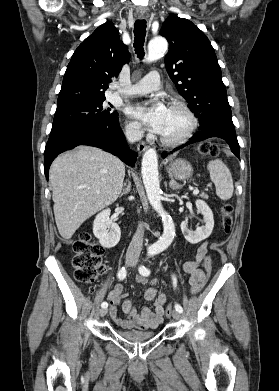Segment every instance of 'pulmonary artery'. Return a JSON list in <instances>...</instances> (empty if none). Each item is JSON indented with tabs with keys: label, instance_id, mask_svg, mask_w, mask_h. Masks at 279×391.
<instances>
[{
	"label": "pulmonary artery",
	"instance_id": "e3ab8cb5",
	"mask_svg": "<svg viewBox=\"0 0 279 391\" xmlns=\"http://www.w3.org/2000/svg\"><path fill=\"white\" fill-rule=\"evenodd\" d=\"M161 78L158 72L152 71L149 72L143 79H141L138 83L132 85L127 90H119V93L136 96L143 95L150 92L157 91L160 87Z\"/></svg>",
	"mask_w": 279,
	"mask_h": 391
}]
</instances>
